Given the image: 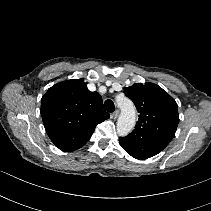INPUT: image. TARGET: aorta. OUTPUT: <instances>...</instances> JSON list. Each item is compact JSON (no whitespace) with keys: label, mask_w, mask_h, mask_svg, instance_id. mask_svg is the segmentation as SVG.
<instances>
[{"label":"aorta","mask_w":211,"mask_h":211,"mask_svg":"<svg viewBox=\"0 0 211 211\" xmlns=\"http://www.w3.org/2000/svg\"><path fill=\"white\" fill-rule=\"evenodd\" d=\"M117 105L121 110L117 121V133L119 136H126L135 126L136 110L132 101L124 96L117 99Z\"/></svg>","instance_id":"1"}]
</instances>
